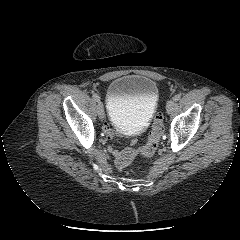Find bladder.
I'll use <instances>...</instances> for the list:
<instances>
[{
    "label": "bladder",
    "mask_w": 240,
    "mask_h": 240,
    "mask_svg": "<svg viewBox=\"0 0 240 240\" xmlns=\"http://www.w3.org/2000/svg\"><path fill=\"white\" fill-rule=\"evenodd\" d=\"M106 99L113 126L124 133L137 134L155 114L159 89L149 77L125 75L110 83Z\"/></svg>",
    "instance_id": "bladder-1"
}]
</instances>
